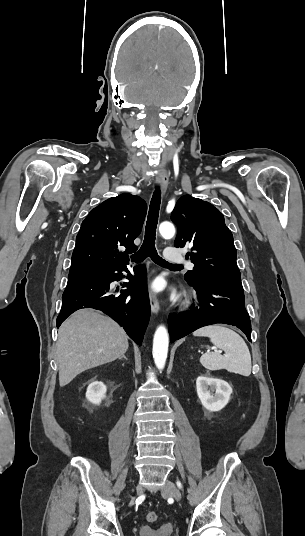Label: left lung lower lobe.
Wrapping results in <instances>:
<instances>
[{"label":"left lung lower lobe","instance_id":"1","mask_svg":"<svg viewBox=\"0 0 305 536\" xmlns=\"http://www.w3.org/2000/svg\"><path fill=\"white\" fill-rule=\"evenodd\" d=\"M197 294L198 307L179 315L169 316L170 341L174 342L203 326L224 323L241 329L251 341V322L244 306V291L240 284H190Z\"/></svg>","mask_w":305,"mask_h":536}]
</instances>
